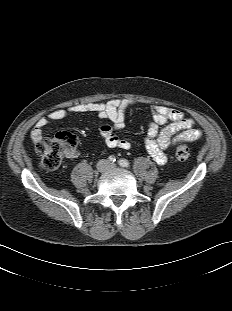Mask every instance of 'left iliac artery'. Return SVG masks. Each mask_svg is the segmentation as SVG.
I'll return each mask as SVG.
<instances>
[{
	"mask_svg": "<svg viewBox=\"0 0 232 311\" xmlns=\"http://www.w3.org/2000/svg\"><path fill=\"white\" fill-rule=\"evenodd\" d=\"M118 164L122 167H129L130 166V163L126 160V159H120L118 161Z\"/></svg>",
	"mask_w": 232,
	"mask_h": 311,
	"instance_id": "44dca946",
	"label": "left iliac artery"
}]
</instances>
